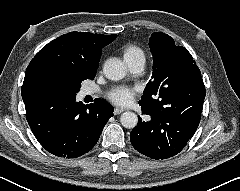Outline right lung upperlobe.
<instances>
[{"label":"right lung upper lobe","instance_id":"cb5924a9","mask_svg":"<svg viewBox=\"0 0 240 191\" xmlns=\"http://www.w3.org/2000/svg\"><path fill=\"white\" fill-rule=\"evenodd\" d=\"M117 35L70 32L45 45L31 60L22 85V97L36 94L40 78L48 72L93 75L97 73L101 49Z\"/></svg>","mask_w":240,"mask_h":191}]
</instances>
